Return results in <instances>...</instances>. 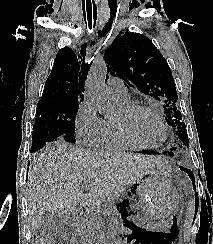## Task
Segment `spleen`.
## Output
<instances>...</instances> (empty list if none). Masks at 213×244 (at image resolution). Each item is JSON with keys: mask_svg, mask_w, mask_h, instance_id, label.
Returning a JSON list of instances; mask_svg holds the SVG:
<instances>
[{"mask_svg": "<svg viewBox=\"0 0 213 244\" xmlns=\"http://www.w3.org/2000/svg\"><path fill=\"white\" fill-rule=\"evenodd\" d=\"M194 213H195V201H194L193 196H191L189 199V202H188L186 216H185V220H184L183 234H184L185 239H189V237H190Z\"/></svg>", "mask_w": 213, "mask_h": 244, "instance_id": "obj_1", "label": "spleen"}]
</instances>
